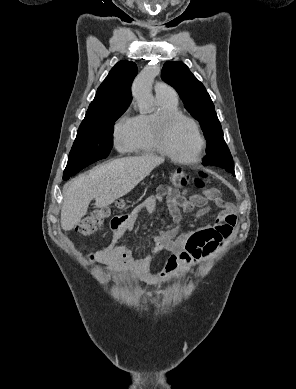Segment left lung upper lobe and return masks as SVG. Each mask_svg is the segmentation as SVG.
I'll list each match as a JSON object with an SVG mask.
<instances>
[{"label": "left lung upper lobe", "instance_id": "5c2ea615", "mask_svg": "<svg viewBox=\"0 0 296 389\" xmlns=\"http://www.w3.org/2000/svg\"><path fill=\"white\" fill-rule=\"evenodd\" d=\"M161 78L178 92L188 112L201 125L208 142L203 165L219 166L228 172L234 169L232 159L225 160L216 156L215 150L225 141L214 105L204 85L182 62H166Z\"/></svg>", "mask_w": 296, "mask_h": 389}]
</instances>
